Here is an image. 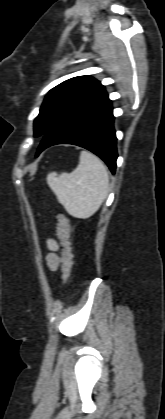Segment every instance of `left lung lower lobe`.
Here are the masks:
<instances>
[{"mask_svg":"<svg viewBox=\"0 0 165 419\" xmlns=\"http://www.w3.org/2000/svg\"><path fill=\"white\" fill-rule=\"evenodd\" d=\"M113 111L106 91H102L71 109L48 132L36 156L56 144H73L98 155L114 174L117 151Z\"/></svg>","mask_w":165,"mask_h":419,"instance_id":"obj_1","label":"left lung lower lobe"}]
</instances>
